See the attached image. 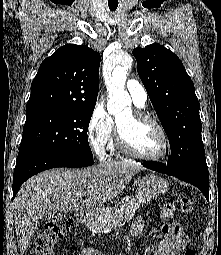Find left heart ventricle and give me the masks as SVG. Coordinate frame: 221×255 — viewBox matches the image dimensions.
I'll return each instance as SVG.
<instances>
[{"instance_id": "1", "label": "left heart ventricle", "mask_w": 221, "mask_h": 255, "mask_svg": "<svg viewBox=\"0 0 221 255\" xmlns=\"http://www.w3.org/2000/svg\"><path fill=\"white\" fill-rule=\"evenodd\" d=\"M118 126L139 153L146 156H156L162 152L163 140L160 132L150 123L135 121L132 112L121 116L118 120Z\"/></svg>"}]
</instances>
